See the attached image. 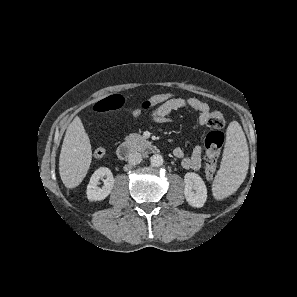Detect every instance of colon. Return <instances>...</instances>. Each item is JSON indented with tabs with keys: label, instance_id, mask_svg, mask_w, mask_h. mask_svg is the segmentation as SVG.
<instances>
[{
	"label": "colon",
	"instance_id": "colon-1",
	"mask_svg": "<svg viewBox=\"0 0 297 297\" xmlns=\"http://www.w3.org/2000/svg\"><path fill=\"white\" fill-rule=\"evenodd\" d=\"M173 98L171 93H163L152 96L144 100L140 105L139 109L141 111L149 110L150 108L163 103L169 99ZM126 103L125 98L122 95L116 94L111 95L101 101H99L95 106L94 110L97 113H107L112 111H117L124 107ZM225 119L221 111L215 110L210 113L207 125L212 131H210L205 140V156H204V167L205 176L207 180L212 181L215 176L217 161L221 153V149L224 143V135L220 129L224 126ZM105 149L102 147L97 148L94 151V156L96 158H102L105 155Z\"/></svg>",
	"mask_w": 297,
	"mask_h": 297
}]
</instances>
